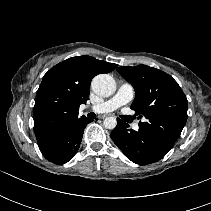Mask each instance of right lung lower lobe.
Listing matches in <instances>:
<instances>
[{"label":"right lung lower lobe","instance_id":"obj_1","mask_svg":"<svg viewBox=\"0 0 211 211\" xmlns=\"http://www.w3.org/2000/svg\"><path fill=\"white\" fill-rule=\"evenodd\" d=\"M91 122L85 116L38 140L42 155L50 162L64 164L77 153L85 126Z\"/></svg>","mask_w":211,"mask_h":211}]
</instances>
